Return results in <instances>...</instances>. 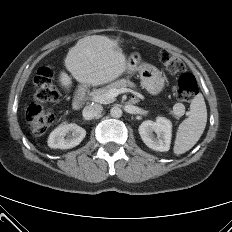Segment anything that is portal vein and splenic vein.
<instances>
[{
  "mask_svg": "<svg viewBox=\"0 0 232 232\" xmlns=\"http://www.w3.org/2000/svg\"><path fill=\"white\" fill-rule=\"evenodd\" d=\"M119 93H120V90H118V89H112V90L107 94V97L113 99V98H115ZM95 101H99L98 98H95Z\"/></svg>",
  "mask_w": 232,
  "mask_h": 232,
  "instance_id": "1",
  "label": "portal vein and splenic vein"
}]
</instances>
